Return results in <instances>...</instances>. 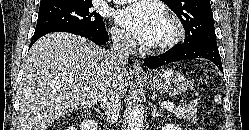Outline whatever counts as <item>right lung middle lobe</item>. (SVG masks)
<instances>
[{"instance_id":"obj_1","label":"right lung middle lobe","mask_w":249,"mask_h":130,"mask_svg":"<svg viewBox=\"0 0 249 130\" xmlns=\"http://www.w3.org/2000/svg\"><path fill=\"white\" fill-rule=\"evenodd\" d=\"M91 0H69L51 6H40L35 33L62 27H84L104 30L102 17L92 11Z\"/></svg>"}]
</instances>
